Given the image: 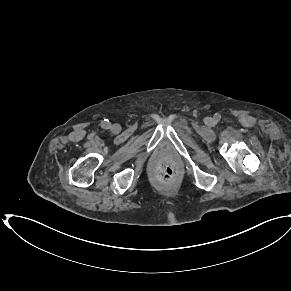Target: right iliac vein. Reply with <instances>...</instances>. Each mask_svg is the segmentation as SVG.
I'll list each match as a JSON object with an SVG mask.
<instances>
[{
	"mask_svg": "<svg viewBox=\"0 0 291 291\" xmlns=\"http://www.w3.org/2000/svg\"><path fill=\"white\" fill-rule=\"evenodd\" d=\"M112 129H113L114 131L118 130V129H119V125H117V124L113 125V126H112Z\"/></svg>",
	"mask_w": 291,
	"mask_h": 291,
	"instance_id": "1",
	"label": "right iliac vein"
}]
</instances>
